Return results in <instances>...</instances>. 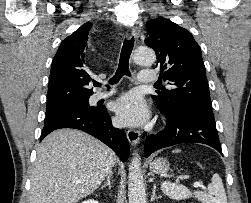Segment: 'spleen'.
I'll return each instance as SVG.
<instances>
[{
  "label": "spleen",
  "instance_id": "obj_1",
  "mask_svg": "<svg viewBox=\"0 0 251 203\" xmlns=\"http://www.w3.org/2000/svg\"><path fill=\"white\" fill-rule=\"evenodd\" d=\"M176 149L173 152H180ZM161 189L164 194L174 200H184L194 195L202 203H227V197L225 189L220 176L215 173L212 176L211 183L208 185L209 193L203 191L191 192L187 187L183 185H176L171 182H163Z\"/></svg>",
  "mask_w": 251,
  "mask_h": 203
}]
</instances>
